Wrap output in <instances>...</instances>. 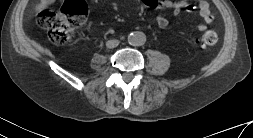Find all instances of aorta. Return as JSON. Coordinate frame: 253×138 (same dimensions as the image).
Returning a JSON list of instances; mask_svg holds the SVG:
<instances>
[{"mask_svg":"<svg viewBox=\"0 0 253 138\" xmlns=\"http://www.w3.org/2000/svg\"><path fill=\"white\" fill-rule=\"evenodd\" d=\"M146 36L143 32L135 31L128 35V42L133 46H141L145 43Z\"/></svg>","mask_w":253,"mask_h":138,"instance_id":"obj_1","label":"aorta"}]
</instances>
